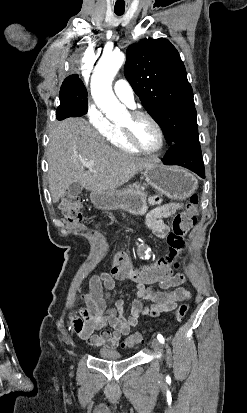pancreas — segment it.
I'll use <instances>...</instances> for the list:
<instances>
[{
	"label": "pancreas",
	"mask_w": 247,
	"mask_h": 413,
	"mask_svg": "<svg viewBox=\"0 0 247 413\" xmlns=\"http://www.w3.org/2000/svg\"><path fill=\"white\" fill-rule=\"evenodd\" d=\"M129 186H137V184H129ZM142 190H144L145 186H141Z\"/></svg>",
	"instance_id": "cf45deb5"
}]
</instances>
